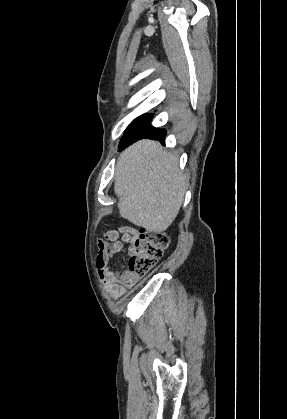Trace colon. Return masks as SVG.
<instances>
[{
    "mask_svg": "<svg viewBox=\"0 0 287 419\" xmlns=\"http://www.w3.org/2000/svg\"><path fill=\"white\" fill-rule=\"evenodd\" d=\"M168 243L162 233L139 230L130 242L129 269L137 276L144 275L161 259Z\"/></svg>",
    "mask_w": 287,
    "mask_h": 419,
    "instance_id": "1",
    "label": "colon"
}]
</instances>
